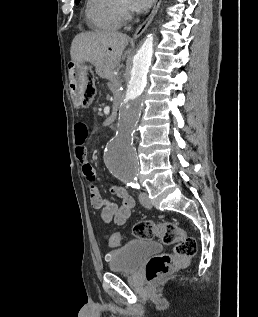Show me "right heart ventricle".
Returning a JSON list of instances; mask_svg holds the SVG:
<instances>
[{
    "label": "right heart ventricle",
    "instance_id": "right-heart-ventricle-1",
    "mask_svg": "<svg viewBox=\"0 0 258 317\" xmlns=\"http://www.w3.org/2000/svg\"><path fill=\"white\" fill-rule=\"evenodd\" d=\"M123 8V0H88L85 6V16L93 29L110 32L121 26Z\"/></svg>",
    "mask_w": 258,
    "mask_h": 317
}]
</instances>
